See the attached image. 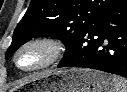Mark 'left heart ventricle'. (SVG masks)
<instances>
[{
  "label": "left heart ventricle",
  "mask_w": 127,
  "mask_h": 92,
  "mask_svg": "<svg viewBox=\"0 0 127 92\" xmlns=\"http://www.w3.org/2000/svg\"><path fill=\"white\" fill-rule=\"evenodd\" d=\"M46 56L47 53L43 48L31 47L20 54L18 62L23 68H31L42 63L46 59Z\"/></svg>",
  "instance_id": "1"
}]
</instances>
